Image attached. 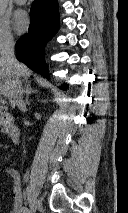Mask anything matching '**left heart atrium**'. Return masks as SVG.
<instances>
[{
	"mask_svg": "<svg viewBox=\"0 0 128 213\" xmlns=\"http://www.w3.org/2000/svg\"><path fill=\"white\" fill-rule=\"evenodd\" d=\"M29 24H30V19L27 12L23 10H18L15 12L13 16V25H14V28L19 33L25 32L28 29Z\"/></svg>",
	"mask_w": 128,
	"mask_h": 213,
	"instance_id": "1",
	"label": "left heart atrium"
}]
</instances>
